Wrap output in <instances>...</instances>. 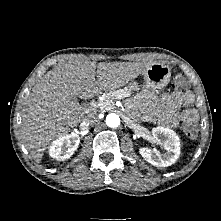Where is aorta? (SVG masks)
Wrapping results in <instances>:
<instances>
[{
    "label": "aorta",
    "instance_id": "762f6f07",
    "mask_svg": "<svg viewBox=\"0 0 221 221\" xmlns=\"http://www.w3.org/2000/svg\"><path fill=\"white\" fill-rule=\"evenodd\" d=\"M106 124L111 128L118 127L120 125V117L115 113H110L106 116Z\"/></svg>",
    "mask_w": 221,
    "mask_h": 221
}]
</instances>
